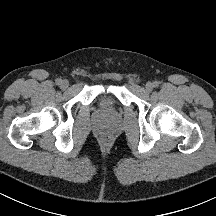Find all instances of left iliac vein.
Masks as SVG:
<instances>
[{"instance_id": "1", "label": "left iliac vein", "mask_w": 216, "mask_h": 216, "mask_svg": "<svg viewBox=\"0 0 216 216\" xmlns=\"http://www.w3.org/2000/svg\"><path fill=\"white\" fill-rule=\"evenodd\" d=\"M145 88L147 92H151L153 90V84L151 82H148L146 83Z\"/></svg>"}]
</instances>
